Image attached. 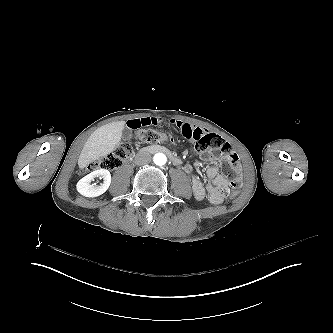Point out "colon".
I'll use <instances>...</instances> for the list:
<instances>
[{
  "label": "colon",
  "instance_id": "1",
  "mask_svg": "<svg viewBox=\"0 0 333 333\" xmlns=\"http://www.w3.org/2000/svg\"><path fill=\"white\" fill-rule=\"evenodd\" d=\"M184 138L186 140L193 139L195 146L194 152L197 155L205 154L208 149L212 152L220 151L227 158L224 164V172L230 175V187L232 189L231 197L237 195L239 186L241 185V165L239 155L233 148L220 136L213 133H206L201 127H192L191 123H181ZM136 136L148 146H157L168 141H172V137L166 132H157L145 130L135 132ZM133 153V147L130 143L124 142L118 146L112 153L106 157L100 158L92 166L94 170H110L120 166L121 160H127Z\"/></svg>",
  "mask_w": 333,
  "mask_h": 333
}]
</instances>
